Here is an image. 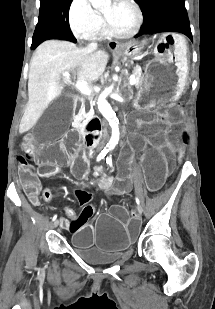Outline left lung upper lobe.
I'll return each mask as SVG.
<instances>
[{"label":"left lung upper lobe","instance_id":"obj_1","mask_svg":"<svg viewBox=\"0 0 215 309\" xmlns=\"http://www.w3.org/2000/svg\"><path fill=\"white\" fill-rule=\"evenodd\" d=\"M144 23L136 37L151 32H180L193 41L184 0H136Z\"/></svg>","mask_w":215,"mask_h":309}]
</instances>
